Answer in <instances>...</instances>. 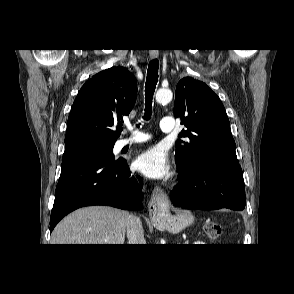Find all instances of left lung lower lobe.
Here are the masks:
<instances>
[{
    "label": "left lung lower lobe",
    "mask_w": 294,
    "mask_h": 294,
    "mask_svg": "<svg viewBox=\"0 0 294 294\" xmlns=\"http://www.w3.org/2000/svg\"><path fill=\"white\" fill-rule=\"evenodd\" d=\"M177 166L180 182L170 193L175 206L201 210L245 208V187L239 164L218 161L190 170L178 163Z\"/></svg>",
    "instance_id": "obj_1"
}]
</instances>
